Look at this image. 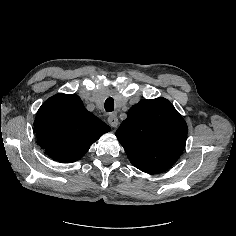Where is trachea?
Wrapping results in <instances>:
<instances>
[{
    "instance_id": "obj_1",
    "label": "trachea",
    "mask_w": 236,
    "mask_h": 236,
    "mask_svg": "<svg viewBox=\"0 0 236 236\" xmlns=\"http://www.w3.org/2000/svg\"><path fill=\"white\" fill-rule=\"evenodd\" d=\"M104 107L107 112H112L114 110V100L112 97L106 99Z\"/></svg>"
}]
</instances>
